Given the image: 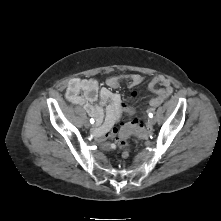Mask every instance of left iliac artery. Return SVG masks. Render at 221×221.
Listing matches in <instances>:
<instances>
[{
  "mask_svg": "<svg viewBox=\"0 0 221 221\" xmlns=\"http://www.w3.org/2000/svg\"><path fill=\"white\" fill-rule=\"evenodd\" d=\"M149 117H150V118H152V117H153V114H152V113H150V114H149Z\"/></svg>",
  "mask_w": 221,
  "mask_h": 221,
  "instance_id": "1",
  "label": "left iliac artery"
}]
</instances>
